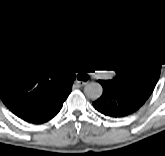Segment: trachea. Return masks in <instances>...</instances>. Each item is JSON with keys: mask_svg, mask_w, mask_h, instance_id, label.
Returning <instances> with one entry per match:
<instances>
[{"mask_svg": "<svg viewBox=\"0 0 165 156\" xmlns=\"http://www.w3.org/2000/svg\"><path fill=\"white\" fill-rule=\"evenodd\" d=\"M75 72H79L77 75L78 80H82V81L88 80L89 78L88 75L84 71L80 70L79 68H73L71 70L66 71L65 73L62 74V76H60L56 80L61 83L71 82L76 79Z\"/></svg>", "mask_w": 165, "mask_h": 156, "instance_id": "3493384b", "label": "trachea"}]
</instances>
